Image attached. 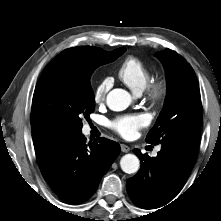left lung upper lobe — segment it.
I'll use <instances>...</instances> for the list:
<instances>
[{
	"label": "left lung upper lobe",
	"mask_w": 221,
	"mask_h": 221,
	"mask_svg": "<svg viewBox=\"0 0 221 221\" xmlns=\"http://www.w3.org/2000/svg\"><path fill=\"white\" fill-rule=\"evenodd\" d=\"M155 55L166 69L168 92L163 110L146 141L153 145L178 143L197 149L202 104L195 72L175 51L165 49Z\"/></svg>",
	"instance_id": "obj_1"
}]
</instances>
